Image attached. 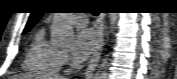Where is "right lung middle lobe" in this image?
<instances>
[{
  "label": "right lung middle lobe",
  "mask_w": 177,
  "mask_h": 79,
  "mask_svg": "<svg viewBox=\"0 0 177 79\" xmlns=\"http://www.w3.org/2000/svg\"><path fill=\"white\" fill-rule=\"evenodd\" d=\"M31 28H32V26L25 27V29H24V31H23V34H25L26 32H28Z\"/></svg>",
  "instance_id": "right-lung-middle-lobe-1"
}]
</instances>
